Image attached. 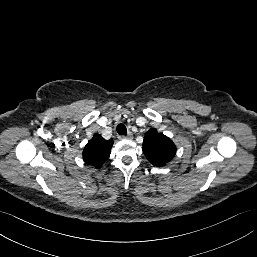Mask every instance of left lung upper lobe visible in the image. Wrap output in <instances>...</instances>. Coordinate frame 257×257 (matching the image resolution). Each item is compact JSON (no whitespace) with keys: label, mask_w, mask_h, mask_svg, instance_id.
Masks as SVG:
<instances>
[{"label":"left lung upper lobe","mask_w":257,"mask_h":257,"mask_svg":"<svg viewBox=\"0 0 257 257\" xmlns=\"http://www.w3.org/2000/svg\"><path fill=\"white\" fill-rule=\"evenodd\" d=\"M142 149L148 161L157 167L166 165L176 154L172 140L154 128L145 134Z\"/></svg>","instance_id":"left-lung-upper-lobe-1"}]
</instances>
